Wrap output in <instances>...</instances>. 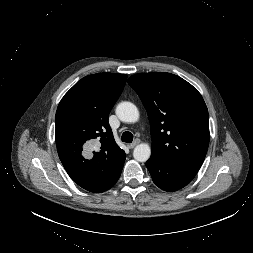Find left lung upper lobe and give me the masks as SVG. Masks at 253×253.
<instances>
[{
	"instance_id": "1",
	"label": "left lung upper lobe",
	"mask_w": 253,
	"mask_h": 253,
	"mask_svg": "<svg viewBox=\"0 0 253 253\" xmlns=\"http://www.w3.org/2000/svg\"><path fill=\"white\" fill-rule=\"evenodd\" d=\"M151 124L152 156L197 174L209 145L208 110L201 94L170 73H140L128 79Z\"/></svg>"
}]
</instances>
